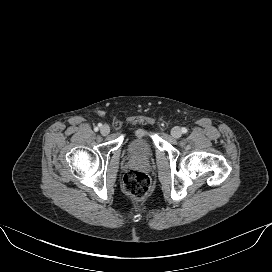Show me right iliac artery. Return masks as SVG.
<instances>
[{
	"mask_svg": "<svg viewBox=\"0 0 272 272\" xmlns=\"http://www.w3.org/2000/svg\"><path fill=\"white\" fill-rule=\"evenodd\" d=\"M98 126L101 127V124H99ZM95 131H98V127L95 128Z\"/></svg>",
	"mask_w": 272,
	"mask_h": 272,
	"instance_id": "right-iliac-artery-1",
	"label": "right iliac artery"
}]
</instances>
